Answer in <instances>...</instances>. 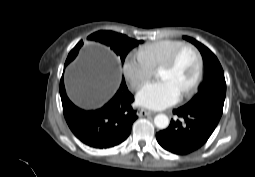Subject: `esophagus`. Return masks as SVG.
<instances>
[{"label":"esophagus","instance_id":"esophagus-1","mask_svg":"<svg viewBox=\"0 0 255 177\" xmlns=\"http://www.w3.org/2000/svg\"><path fill=\"white\" fill-rule=\"evenodd\" d=\"M155 114V112L151 111V110H148V109H144V108H139L137 110V115L139 117H143V116H149V115H153Z\"/></svg>","mask_w":255,"mask_h":177}]
</instances>
